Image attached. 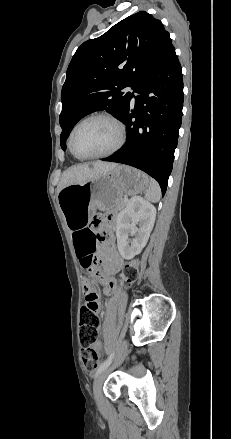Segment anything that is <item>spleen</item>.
Returning a JSON list of instances; mask_svg holds the SVG:
<instances>
[{
  "label": "spleen",
  "instance_id": "3e777b00",
  "mask_svg": "<svg viewBox=\"0 0 231 439\" xmlns=\"http://www.w3.org/2000/svg\"><path fill=\"white\" fill-rule=\"evenodd\" d=\"M145 198L147 201L156 203L161 198V189L157 181L154 179L149 180V186L148 189L145 192Z\"/></svg>",
  "mask_w": 231,
  "mask_h": 439
}]
</instances>
